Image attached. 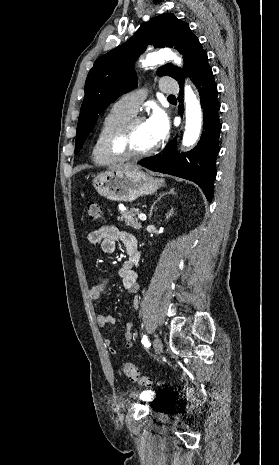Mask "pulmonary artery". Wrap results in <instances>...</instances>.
Returning <instances> with one entry per match:
<instances>
[{
    "label": "pulmonary artery",
    "mask_w": 279,
    "mask_h": 465,
    "mask_svg": "<svg viewBox=\"0 0 279 465\" xmlns=\"http://www.w3.org/2000/svg\"><path fill=\"white\" fill-rule=\"evenodd\" d=\"M159 89L161 92L166 94H174L178 91L177 85L168 79H163L160 81ZM145 97L146 92L144 90H137L125 94L118 100L117 103L130 113L135 114Z\"/></svg>",
    "instance_id": "1"
}]
</instances>
